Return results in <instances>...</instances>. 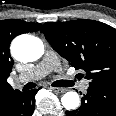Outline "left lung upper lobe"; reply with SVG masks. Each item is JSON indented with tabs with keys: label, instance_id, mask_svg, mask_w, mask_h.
<instances>
[{
	"label": "left lung upper lobe",
	"instance_id": "1",
	"mask_svg": "<svg viewBox=\"0 0 116 116\" xmlns=\"http://www.w3.org/2000/svg\"><path fill=\"white\" fill-rule=\"evenodd\" d=\"M41 32L75 69H83L89 86L116 88V29L98 21L46 22Z\"/></svg>",
	"mask_w": 116,
	"mask_h": 116
}]
</instances>
